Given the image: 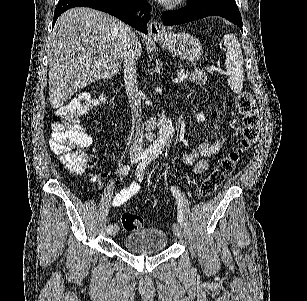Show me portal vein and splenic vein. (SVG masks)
<instances>
[{"mask_svg": "<svg viewBox=\"0 0 307 301\" xmlns=\"http://www.w3.org/2000/svg\"><path fill=\"white\" fill-rule=\"evenodd\" d=\"M185 76H187V72H178V78H174V82H180Z\"/></svg>", "mask_w": 307, "mask_h": 301, "instance_id": "portal-vein-and-splenic-vein-1", "label": "portal vein and splenic vein"}]
</instances>
